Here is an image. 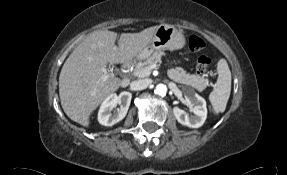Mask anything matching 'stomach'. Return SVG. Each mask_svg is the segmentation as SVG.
Instances as JSON below:
<instances>
[{
    "instance_id": "0dacf381",
    "label": "stomach",
    "mask_w": 287,
    "mask_h": 175,
    "mask_svg": "<svg viewBox=\"0 0 287 175\" xmlns=\"http://www.w3.org/2000/svg\"><path fill=\"white\" fill-rule=\"evenodd\" d=\"M184 45L185 37L181 31L172 25L161 24L157 27L150 44L137 57L139 59H147L154 52L178 50L183 48Z\"/></svg>"
}]
</instances>
